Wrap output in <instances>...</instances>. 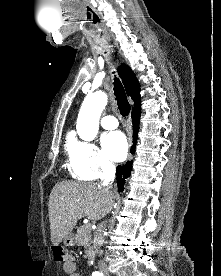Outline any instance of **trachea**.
I'll return each instance as SVG.
<instances>
[{"mask_svg":"<svg viewBox=\"0 0 221 276\" xmlns=\"http://www.w3.org/2000/svg\"><path fill=\"white\" fill-rule=\"evenodd\" d=\"M114 80V95L117 100L118 109L120 111V114L123 117H126L128 116L131 107L127 100L126 93L121 82L116 77L114 78Z\"/></svg>","mask_w":221,"mask_h":276,"instance_id":"3493384b","label":"trachea"}]
</instances>
